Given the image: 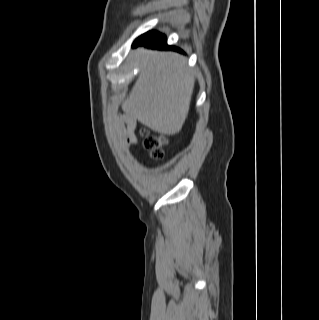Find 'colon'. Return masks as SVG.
Returning a JSON list of instances; mask_svg holds the SVG:
<instances>
[{
    "mask_svg": "<svg viewBox=\"0 0 319 320\" xmlns=\"http://www.w3.org/2000/svg\"><path fill=\"white\" fill-rule=\"evenodd\" d=\"M142 136L144 147L151 151L155 157H161L163 155L162 148L167 142L166 138L147 131H143Z\"/></svg>",
    "mask_w": 319,
    "mask_h": 320,
    "instance_id": "5ec220e1",
    "label": "colon"
}]
</instances>
